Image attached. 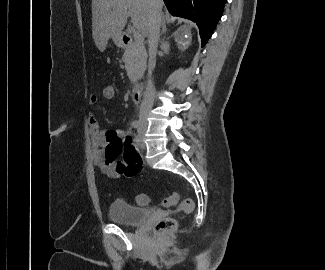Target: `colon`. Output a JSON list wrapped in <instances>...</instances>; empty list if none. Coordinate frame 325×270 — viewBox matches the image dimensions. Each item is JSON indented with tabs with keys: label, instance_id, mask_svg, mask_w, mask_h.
<instances>
[{
	"label": "colon",
	"instance_id": "1",
	"mask_svg": "<svg viewBox=\"0 0 325 270\" xmlns=\"http://www.w3.org/2000/svg\"><path fill=\"white\" fill-rule=\"evenodd\" d=\"M102 98L105 101L112 102L116 99V90L113 86L107 85L102 89ZM149 202V198L146 194H139L137 196V203L140 205H146ZM163 205L166 208L176 207V211L183 214H189L193 211V200L183 199L179 201V197L176 193H171L163 200ZM177 227V221L172 217H166L159 221L155 227L156 232L164 233L170 232Z\"/></svg>",
	"mask_w": 325,
	"mask_h": 270
}]
</instances>
